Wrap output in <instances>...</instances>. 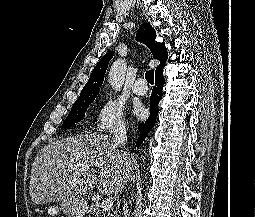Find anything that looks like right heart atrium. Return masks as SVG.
<instances>
[{
  "instance_id": "right-heart-atrium-1",
  "label": "right heart atrium",
  "mask_w": 255,
  "mask_h": 217,
  "mask_svg": "<svg viewBox=\"0 0 255 217\" xmlns=\"http://www.w3.org/2000/svg\"><path fill=\"white\" fill-rule=\"evenodd\" d=\"M125 110L123 104L114 98H106L96 109L91 129L98 133H121L125 130Z\"/></svg>"
}]
</instances>
